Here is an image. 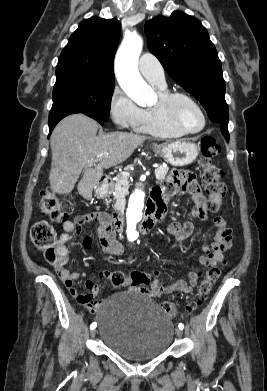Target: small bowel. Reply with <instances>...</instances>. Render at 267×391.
<instances>
[{
	"mask_svg": "<svg viewBox=\"0 0 267 391\" xmlns=\"http://www.w3.org/2000/svg\"><path fill=\"white\" fill-rule=\"evenodd\" d=\"M189 193L193 206L191 214L194 218L205 221L208 218L207 201L195 179V176L186 170H173L166 180L160 185L155 186L151 192V203L156 206L160 218L166 211L167 202L174 196ZM98 222L97 229L100 245L102 251L110 256H120L123 253L122 244L116 239L114 230L111 225V218L107 213H87L85 215L77 216L74 220H66L62 223L63 233L59 236L56 245L57 260L53 264L54 270L58 277L64 282L67 288L70 289L77 301L85 305L89 310L95 311L101 305V301L95 300L98 295L99 288L93 278L85 280V287L87 293H79L74 287V281L80 278V273L71 272L66 268L69 258V249L67 244L72 240V233L79 234L82 232V226L85 223ZM194 230L191 222L179 223L172 222L167 227V232L173 235L181 247L180 242L189 237ZM215 238L210 245L204 244L202 246L203 254L199 257V262L206 268H211L218 262L223 261L224 253L232 245V231L227 228L224 219L218 217L214 222ZM92 244L90 236H86L83 240L85 249H89ZM114 273L101 272L100 278H105L109 281L113 288L120 286H113L111 279ZM202 272L193 270L189 273V281L174 280L167 284L161 283L162 273L155 271L151 287L142 293L148 297L159 298L165 294L175 291L183 293H192L194 287L197 286L199 277ZM129 286V285H127Z\"/></svg>",
	"mask_w": 267,
	"mask_h": 391,
	"instance_id": "obj_1",
	"label": "small bowel"
}]
</instances>
